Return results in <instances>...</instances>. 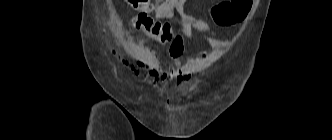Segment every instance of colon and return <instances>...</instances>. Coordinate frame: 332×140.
I'll use <instances>...</instances> for the list:
<instances>
[{
    "mask_svg": "<svg viewBox=\"0 0 332 140\" xmlns=\"http://www.w3.org/2000/svg\"><path fill=\"white\" fill-rule=\"evenodd\" d=\"M135 9H152L153 0H125ZM159 1V6L167 0ZM252 0H225L215 5L211 10L214 22L220 26H230L240 23L249 13ZM130 26L142 30L151 37H169L174 33L173 27L168 22L154 19L148 12L144 11L132 17Z\"/></svg>",
    "mask_w": 332,
    "mask_h": 140,
    "instance_id": "obj_1",
    "label": "colon"
}]
</instances>
